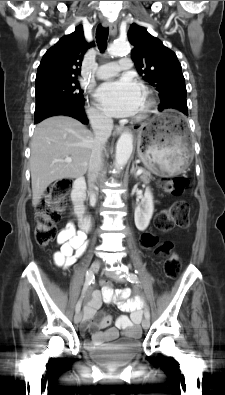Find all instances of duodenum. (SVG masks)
Wrapping results in <instances>:
<instances>
[{
	"instance_id": "1",
	"label": "duodenum",
	"mask_w": 225,
	"mask_h": 395,
	"mask_svg": "<svg viewBox=\"0 0 225 395\" xmlns=\"http://www.w3.org/2000/svg\"><path fill=\"white\" fill-rule=\"evenodd\" d=\"M85 187L86 183L82 177L77 178L74 181L72 190V201L76 207V211L79 215L80 226L84 231H89L91 228V219L85 212L83 205L85 200Z\"/></svg>"
}]
</instances>
